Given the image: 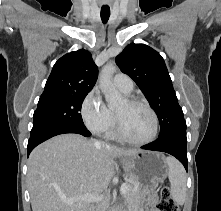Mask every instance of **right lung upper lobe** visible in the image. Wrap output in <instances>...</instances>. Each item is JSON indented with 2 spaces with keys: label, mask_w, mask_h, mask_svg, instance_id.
I'll return each mask as SVG.
<instances>
[{
  "label": "right lung upper lobe",
  "mask_w": 221,
  "mask_h": 211,
  "mask_svg": "<svg viewBox=\"0 0 221 211\" xmlns=\"http://www.w3.org/2000/svg\"><path fill=\"white\" fill-rule=\"evenodd\" d=\"M97 76L91 53L84 49L73 51L54 64L43 93H88Z\"/></svg>",
  "instance_id": "1"
}]
</instances>
